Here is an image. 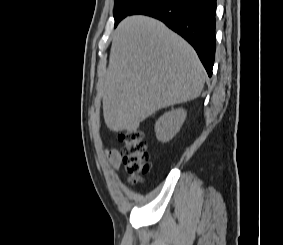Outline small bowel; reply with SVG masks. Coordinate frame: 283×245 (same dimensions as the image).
Instances as JSON below:
<instances>
[{"instance_id": "c3829d8e", "label": "small bowel", "mask_w": 283, "mask_h": 245, "mask_svg": "<svg viewBox=\"0 0 283 245\" xmlns=\"http://www.w3.org/2000/svg\"><path fill=\"white\" fill-rule=\"evenodd\" d=\"M107 160L108 164L111 169L116 170L118 169L120 163H121V154L117 149H111L107 151Z\"/></svg>"}]
</instances>
